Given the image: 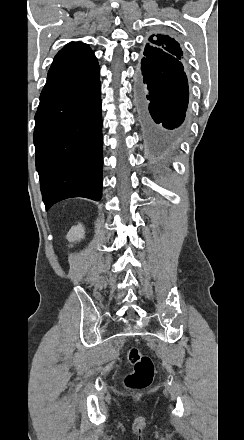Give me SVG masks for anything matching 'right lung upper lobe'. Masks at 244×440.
Segmentation results:
<instances>
[{
  "mask_svg": "<svg viewBox=\"0 0 244 440\" xmlns=\"http://www.w3.org/2000/svg\"><path fill=\"white\" fill-rule=\"evenodd\" d=\"M95 63L97 59L87 44L71 42L55 56L49 72L74 65L88 67Z\"/></svg>",
  "mask_w": 244,
  "mask_h": 440,
  "instance_id": "1",
  "label": "right lung upper lobe"
}]
</instances>
